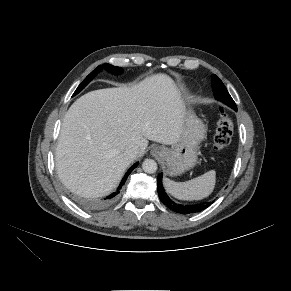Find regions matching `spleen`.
Listing matches in <instances>:
<instances>
[{
    "mask_svg": "<svg viewBox=\"0 0 291 291\" xmlns=\"http://www.w3.org/2000/svg\"><path fill=\"white\" fill-rule=\"evenodd\" d=\"M216 172L210 170L203 175L186 182H175L164 178L166 191L180 200H201L209 196L215 186Z\"/></svg>",
    "mask_w": 291,
    "mask_h": 291,
    "instance_id": "obj_1",
    "label": "spleen"
}]
</instances>
